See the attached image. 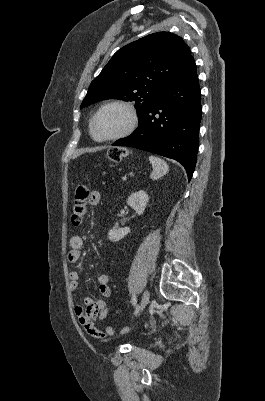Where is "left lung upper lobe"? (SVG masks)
<instances>
[{
	"instance_id": "left-lung-upper-lobe-1",
	"label": "left lung upper lobe",
	"mask_w": 265,
	"mask_h": 401,
	"mask_svg": "<svg viewBox=\"0 0 265 401\" xmlns=\"http://www.w3.org/2000/svg\"><path fill=\"white\" fill-rule=\"evenodd\" d=\"M192 58L178 35L158 32L118 50L90 84L81 108L104 99L134 101L140 118Z\"/></svg>"
}]
</instances>
